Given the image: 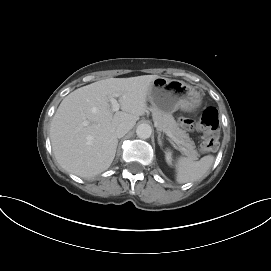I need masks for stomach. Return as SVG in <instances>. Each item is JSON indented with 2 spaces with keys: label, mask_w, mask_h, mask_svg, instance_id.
I'll return each instance as SVG.
<instances>
[{
  "label": "stomach",
  "mask_w": 271,
  "mask_h": 271,
  "mask_svg": "<svg viewBox=\"0 0 271 271\" xmlns=\"http://www.w3.org/2000/svg\"><path fill=\"white\" fill-rule=\"evenodd\" d=\"M147 98L154 108L165 113L178 109L193 112L202 102L201 92L193 86L164 77H158L151 83Z\"/></svg>",
  "instance_id": "0dacf381"
}]
</instances>
